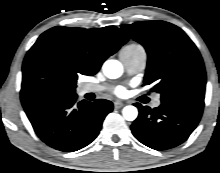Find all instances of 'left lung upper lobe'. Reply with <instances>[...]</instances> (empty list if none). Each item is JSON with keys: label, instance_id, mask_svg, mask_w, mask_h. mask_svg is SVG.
I'll use <instances>...</instances> for the list:
<instances>
[{"label": "left lung upper lobe", "instance_id": "obj_1", "mask_svg": "<svg viewBox=\"0 0 220 173\" xmlns=\"http://www.w3.org/2000/svg\"><path fill=\"white\" fill-rule=\"evenodd\" d=\"M121 29L148 54L144 84H154L161 101L203 110L206 73L201 55L185 32L160 20L123 24Z\"/></svg>", "mask_w": 220, "mask_h": 173}]
</instances>
